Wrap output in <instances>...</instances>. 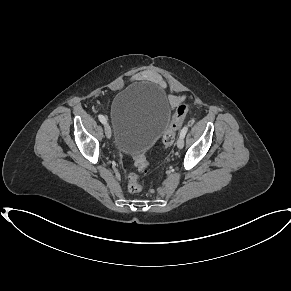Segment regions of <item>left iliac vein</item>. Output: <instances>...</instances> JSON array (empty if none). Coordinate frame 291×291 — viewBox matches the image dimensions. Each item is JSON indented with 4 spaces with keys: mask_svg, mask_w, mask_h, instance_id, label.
<instances>
[{
    "mask_svg": "<svg viewBox=\"0 0 291 291\" xmlns=\"http://www.w3.org/2000/svg\"><path fill=\"white\" fill-rule=\"evenodd\" d=\"M184 146V137L182 136H179L178 140H177V147L179 149H182Z\"/></svg>",
    "mask_w": 291,
    "mask_h": 291,
    "instance_id": "left-iliac-vein-1",
    "label": "left iliac vein"
}]
</instances>
